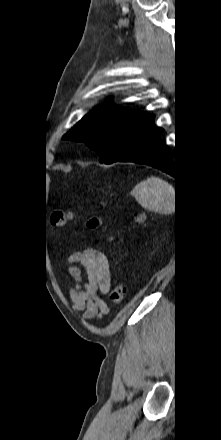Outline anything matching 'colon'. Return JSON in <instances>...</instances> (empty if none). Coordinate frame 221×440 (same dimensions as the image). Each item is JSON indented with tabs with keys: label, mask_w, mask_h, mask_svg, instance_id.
<instances>
[{
	"label": "colon",
	"mask_w": 221,
	"mask_h": 440,
	"mask_svg": "<svg viewBox=\"0 0 221 440\" xmlns=\"http://www.w3.org/2000/svg\"><path fill=\"white\" fill-rule=\"evenodd\" d=\"M72 218L69 212L62 210H56L51 214V222L54 226L62 227L66 225ZM146 214L143 211H135L131 214L129 223L134 226L142 225L145 222ZM96 220H91L89 222V227L94 228L97 226ZM124 288L117 284L115 285L109 293V300L114 304H120L124 299Z\"/></svg>",
	"instance_id": "5ec220e1"
}]
</instances>
